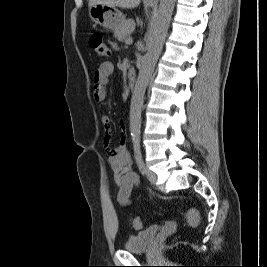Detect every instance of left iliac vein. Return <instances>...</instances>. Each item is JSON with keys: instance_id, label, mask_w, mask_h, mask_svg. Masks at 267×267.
Listing matches in <instances>:
<instances>
[{"instance_id": "4c4485c4", "label": "left iliac vein", "mask_w": 267, "mask_h": 267, "mask_svg": "<svg viewBox=\"0 0 267 267\" xmlns=\"http://www.w3.org/2000/svg\"><path fill=\"white\" fill-rule=\"evenodd\" d=\"M145 174H146V177L147 179L152 183V184H155L156 181H157V176L154 172L148 170L146 167H145Z\"/></svg>"}]
</instances>
